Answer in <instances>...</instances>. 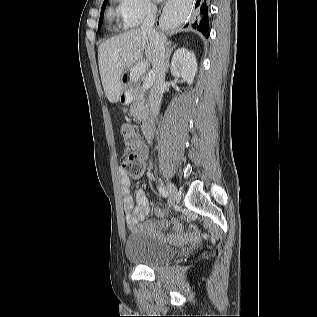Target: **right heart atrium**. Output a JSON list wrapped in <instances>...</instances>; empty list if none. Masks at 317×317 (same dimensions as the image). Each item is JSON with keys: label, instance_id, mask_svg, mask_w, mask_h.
Segmentation results:
<instances>
[{"label": "right heart atrium", "instance_id": "d8ad5b80", "mask_svg": "<svg viewBox=\"0 0 317 317\" xmlns=\"http://www.w3.org/2000/svg\"><path fill=\"white\" fill-rule=\"evenodd\" d=\"M119 9L124 25L129 28L139 26L156 12L152 0H119Z\"/></svg>", "mask_w": 317, "mask_h": 317}]
</instances>
